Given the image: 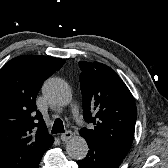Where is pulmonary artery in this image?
Listing matches in <instances>:
<instances>
[{
    "label": "pulmonary artery",
    "instance_id": "1",
    "mask_svg": "<svg viewBox=\"0 0 168 168\" xmlns=\"http://www.w3.org/2000/svg\"><path fill=\"white\" fill-rule=\"evenodd\" d=\"M78 113H79L78 108L75 107V108L73 109V114L77 117V116H78Z\"/></svg>",
    "mask_w": 168,
    "mask_h": 168
}]
</instances>
